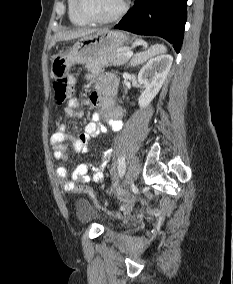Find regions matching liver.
I'll list each match as a JSON object with an SVG mask.
<instances>
[{
    "label": "liver",
    "instance_id": "1",
    "mask_svg": "<svg viewBox=\"0 0 233 284\" xmlns=\"http://www.w3.org/2000/svg\"><path fill=\"white\" fill-rule=\"evenodd\" d=\"M101 30L98 29H73V30H66V31H58L53 36L51 43L49 45V49H51L57 42L60 41H69L85 36H89L93 33L99 32Z\"/></svg>",
    "mask_w": 233,
    "mask_h": 284
}]
</instances>
